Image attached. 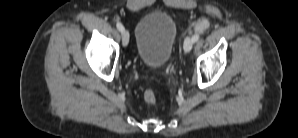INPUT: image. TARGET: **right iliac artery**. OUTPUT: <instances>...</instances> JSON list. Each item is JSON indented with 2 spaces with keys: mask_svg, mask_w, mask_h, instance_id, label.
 I'll use <instances>...</instances> for the list:
<instances>
[{
  "mask_svg": "<svg viewBox=\"0 0 298 138\" xmlns=\"http://www.w3.org/2000/svg\"><path fill=\"white\" fill-rule=\"evenodd\" d=\"M116 27L121 31L123 30V25L119 22L116 24Z\"/></svg>",
  "mask_w": 298,
  "mask_h": 138,
  "instance_id": "82829eb1",
  "label": "right iliac artery"
}]
</instances>
